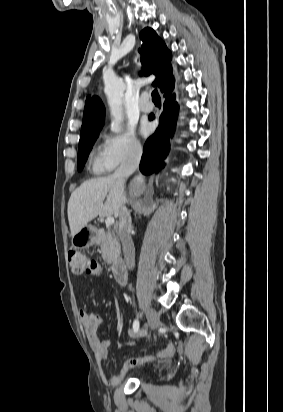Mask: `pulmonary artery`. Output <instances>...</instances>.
<instances>
[{
  "mask_svg": "<svg viewBox=\"0 0 283 412\" xmlns=\"http://www.w3.org/2000/svg\"><path fill=\"white\" fill-rule=\"evenodd\" d=\"M153 106L152 104L148 101V96L143 95L140 99V110L144 113H148L152 111Z\"/></svg>",
  "mask_w": 283,
  "mask_h": 412,
  "instance_id": "pulmonary-artery-1",
  "label": "pulmonary artery"
}]
</instances>
